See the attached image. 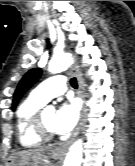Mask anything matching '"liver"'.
Returning a JSON list of instances; mask_svg holds the SVG:
<instances>
[{"label": "liver", "instance_id": "liver-1", "mask_svg": "<svg viewBox=\"0 0 135 166\" xmlns=\"http://www.w3.org/2000/svg\"><path fill=\"white\" fill-rule=\"evenodd\" d=\"M14 155H20L22 157V161L20 162L21 165H30L31 163L42 164L46 166L50 165V162L48 160L49 158L48 155H51V154L48 153L47 148L24 150ZM12 156L10 157V159L12 158Z\"/></svg>", "mask_w": 135, "mask_h": 166}]
</instances>
